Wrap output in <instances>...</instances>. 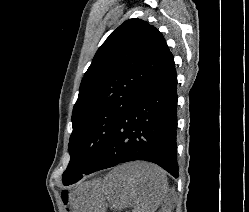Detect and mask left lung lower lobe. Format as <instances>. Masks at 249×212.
I'll list each match as a JSON object with an SVG mask.
<instances>
[{
  "mask_svg": "<svg viewBox=\"0 0 249 212\" xmlns=\"http://www.w3.org/2000/svg\"><path fill=\"white\" fill-rule=\"evenodd\" d=\"M176 87L175 64L169 52L128 105L102 155L86 174L144 160L158 164L177 178Z\"/></svg>",
  "mask_w": 249,
  "mask_h": 212,
  "instance_id": "obj_1",
  "label": "left lung lower lobe"
}]
</instances>
